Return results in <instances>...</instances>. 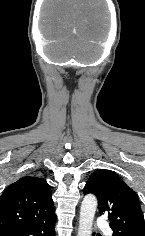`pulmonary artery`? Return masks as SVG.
Segmentation results:
<instances>
[{"instance_id":"1","label":"pulmonary artery","mask_w":145,"mask_h":236,"mask_svg":"<svg viewBox=\"0 0 145 236\" xmlns=\"http://www.w3.org/2000/svg\"><path fill=\"white\" fill-rule=\"evenodd\" d=\"M98 225L103 229V231L106 233V234H111L112 233V230L109 226L106 225V222L103 218H100L98 220Z\"/></svg>"}]
</instances>
